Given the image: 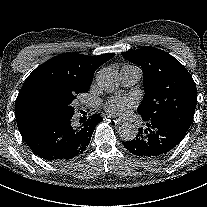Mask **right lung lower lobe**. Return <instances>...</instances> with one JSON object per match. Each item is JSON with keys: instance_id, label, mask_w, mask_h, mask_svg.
I'll return each mask as SVG.
<instances>
[{"instance_id": "right-lung-lower-lobe-1", "label": "right lung lower lobe", "mask_w": 207, "mask_h": 207, "mask_svg": "<svg viewBox=\"0 0 207 207\" xmlns=\"http://www.w3.org/2000/svg\"><path fill=\"white\" fill-rule=\"evenodd\" d=\"M100 115H92L75 128L71 118L47 121L21 133L31 150L52 163H64L79 157L89 145Z\"/></svg>"}]
</instances>
